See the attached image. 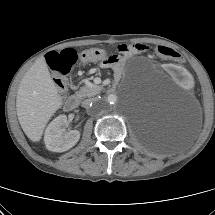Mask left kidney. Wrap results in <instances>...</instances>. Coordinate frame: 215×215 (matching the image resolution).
Segmentation results:
<instances>
[{"label": "left kidney", "mask_w": 215, "mask_h": 215, "mask_svg": "<svg viewBox=\"0 0 215 215\" xmlns=\"http://www.w3.org/2000/svg\"><path fill=\"white\" fill-rule=\"evenodd\" d=\"M165 73L168 76L173 77L175 81H177L181 86L187 89H192L196 85L195 78L185 72L180 66H175L174 64H167L165 66Z\"/></svg>", "instance_id": "obj_1"}]
</instances>
